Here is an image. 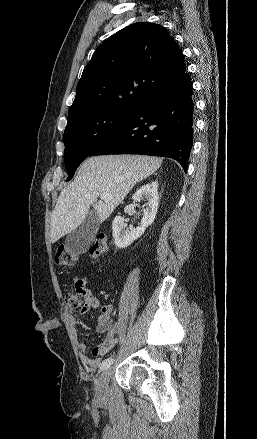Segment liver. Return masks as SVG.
Instances as JSON below:
<instances>
[{
    "label": "liver",
    "instance_id": "1",
    "mask_svg": "<svg viewBox=\"0 0 257 439\" xmlns=\"http://www.w3.org/2000/svg\"><path fill=\"white\" fill-rule=\"evenodd\" d=\"M161 162L157 157L142 155H104L85 160L74 181L58 197L51 218V242L76 229L87 217L90 206L102 223L133 186L154 173ZM103 193L112 199L98 201Z\"/></svg>",
    "mask_w": 257,
    "mask_h": 439
}]
</instances>
